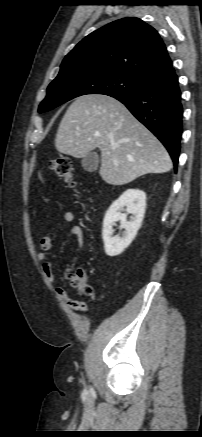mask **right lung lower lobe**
<instances>
[{"instance_id":"obj_1","label":"right lung lower lobe","mask_w":202,"mask_h":437,"mask_svg":"<svg viewBox=\"0 0 202 437\" xmlns=\"http://www.w3.org/2000/svg\"><path fill=\"white\" fill-rule=\"evenodd\" d=\"M166 147L177 169L183 106L178 77L172 65L147 79L134 92L113 95Z\"/></svg>"}]
</instances>
